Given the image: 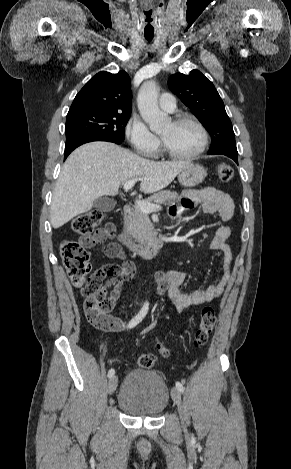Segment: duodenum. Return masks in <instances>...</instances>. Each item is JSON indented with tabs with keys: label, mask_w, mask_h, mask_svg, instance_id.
<instances>
[{
	"label": "duodenum",
	"mask_w": 291,
	"mask_h": 469,
	"mask_svg": "<svg viewBox=\"0 0 291 469\" xmlns=\"http://www.w3.org/2000/svg\"><path fill=\"white\" fill-rule=\"evenodd\" d=\"M132 213V207L130 204H126L123 207V218L125 223L128 221L130 215ZM122 243L126 248L131 251H134L141 255L144 258H153L159 255L161 252V245L160 244H139L136 243L130 236L129 232L124 229L121 234Z\"/></svg>",
	"instance_id": "obj_1"
}]
</instances>
